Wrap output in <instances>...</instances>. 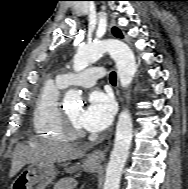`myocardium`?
<instances>
[{"label":"myocardium","instance_id":"f54148a6","mask_svg":"<svg viewBox=\"0 0 188 189\" xmlns=\"http://www.w3.org/2000/svg\"><path fill=\"white\" fill-rule=\"evenodd\" d=\"M61 121L66 138L79 139L84 137V131L72 122L67 112L62 111Z\"/></svg>","mask_w":188,"mask_h":189}]
</instances>
